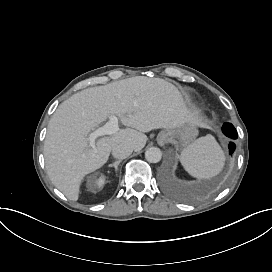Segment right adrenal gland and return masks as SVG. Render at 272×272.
Wrapping results in <instances>:
<instances>
[{"instance_id":"2a0ac1e0","label":"right adrenal gland","mask_w":272,"mask_h":272,"mask_svg":"<svg viewBox=\"0 0 272 272\" xmlns=\"http://www.w3.org/2000/svg\"><path fill=\"white\" fill-rule=\"evenodd\" d=\"M121 163V160H117L114 164H112V165H109L108 167L109 168H115V171H117L118 170V165Z\"/></svg>"}]
</instances>
